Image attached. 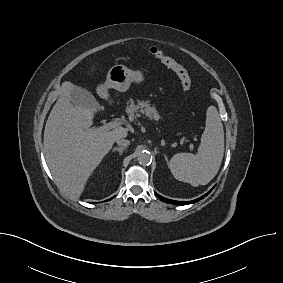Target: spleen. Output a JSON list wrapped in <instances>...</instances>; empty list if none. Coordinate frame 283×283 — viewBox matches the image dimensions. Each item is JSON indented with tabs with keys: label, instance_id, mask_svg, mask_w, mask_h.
<instances>
[{
	"label": "spleen",
	"instance_id": "3e777b00",
	"mask_svg": "<svg viewBox=\"0 0 283 283\" xmlns=\"http://www.w3.org/2000/svg\"><path fill=\"white\" fill-rule=\"evenodd\" d=\"M224 154V130L217 108L209 106L206 127L201 136L197 155L175 154L169 168L175 179L192 186L208 184L218 173Z\"/></svg>",
	"mask_w": 283,
	"mask_h": 283
}]
</instances>
